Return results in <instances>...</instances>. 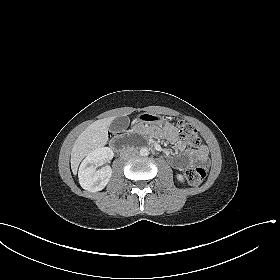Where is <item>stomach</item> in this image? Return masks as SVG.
Instances as JSON below:
<instances>
[{"label": "stomach", "instance_id": "1", "mask_svg": "<svg viewBox=\"0 0 280 280\" xmlns=\"http://www.w3.org/2000/svg\"><path fill=\"white\" fill-rule=\"evenodd\" d=\"M139 119L158 126H162L163 124H165L164 119L156 114L144 113L139 116Z\"/></svg>", "mask_w": 280, "mask_h": 280}]
</instances>
